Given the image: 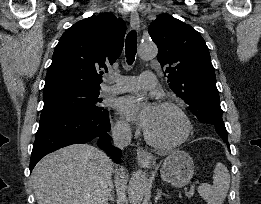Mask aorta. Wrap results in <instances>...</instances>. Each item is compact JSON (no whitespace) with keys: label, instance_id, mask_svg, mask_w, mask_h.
<instances>
[{"label":"aorta","instance_id":"1","mask_svg":"<svg viewBox=\"0 0 261 204\" xmlns=\"http://www.w3.org/2000/svg\"><path fill=\"white\" fill-rule=\"evenodd\" d=\"M158 49L154 43H142L138 47V55L143 60L156 57ZM147 174L138 170L133 173L128 188L129 201L132 204H141L145 195Z\"/></svg>","mask_w":261,"mask_h":204}]
</instances>
